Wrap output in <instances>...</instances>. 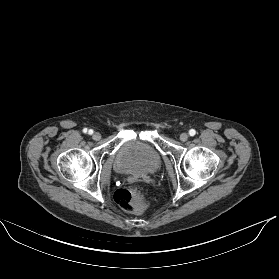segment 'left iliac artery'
<instances>
[{
  "label": "left iliac artery",
  "instance_id": "1",
  "mask_svg": "<svg viewBox=\"0 0 279 279\" xmlns=\"http://www.w3.org/2000/svg\"><path fill=\"white\" fill-rule=\"evenodd\" d=\"M196 134V131L194 129L189 130V135L194 136Z\"/></svg>",
  "mask_w": 279,
  "mask_h": 279
}]
</instances>
